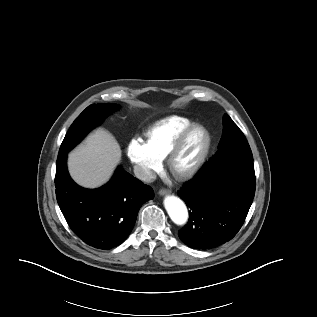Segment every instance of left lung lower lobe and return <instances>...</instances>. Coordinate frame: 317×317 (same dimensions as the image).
Returning <instances> with one entry per match:
<instances>
[{
    "instance_id": "obj_1",
    "label": "left lung lower lobe",
    "mask_w": 317,
    "mask_h": 317,
    "mask_svg": "<svg viewBox=\"0 0 317 317\" xmlns=\"http://www.w3.org/2000/svg\"><path fill=\"white\" fill-rule=\"evenodd\" d=\"M253 160L213 157L178 195L192 210L178 235L188 246L210 249L231 240L240 230L255 194Z\"/></svg>"
}]
</instances>
